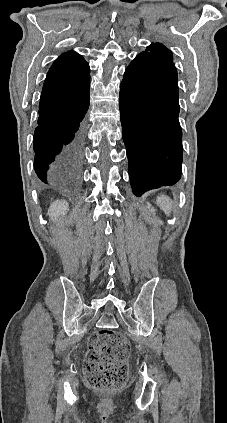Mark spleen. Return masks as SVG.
Returning <instances> with one entry per match:
<instances>
[{"instance_id": "3e777b00", "label": "spleen", "mask_w": 227, "mask_h": 423, "mask_svg": "<svg viewBox=\"0 0 227 423\" xmlns=\"http://www.w3.org/2000/svg\"><path fill=\"white\" fill-rule=\"evenodd\" d=\"M156 204L159 206V208H161V210L165 211L166 215H170L171 211L173 210L172 200H170L168 196H164V194L157 196Z\"/></svg>"}]
</instances>
